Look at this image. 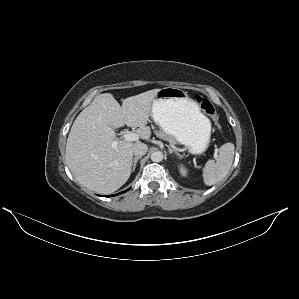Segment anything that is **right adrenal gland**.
I'll return each mask as SVG.
<instances>
[{
	"instance_id": "obj_1",
	"label": "right adrenal gland",
	"mask_w": 299,
	"mask_h": 299,
	"mask_svg": "<svg viewBox=\"0 0 299 299\" xmlns=\"http://www.w3.org/2000/svg\"><path fill=\"white\" fill-rule=\"evenodd\" d=\"M142 158V156H137V157H135L133 160H132V171H134L135 170V168H136V165H137V162H138V160L139 159H141Z\"/></svg>"
}]
</instances>
